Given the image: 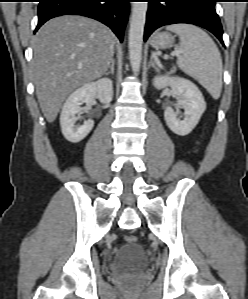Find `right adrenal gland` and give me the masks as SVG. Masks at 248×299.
Returning <instances> with one entry per match:
<instances>
[{
  "label": "right adrenal gland",
  "mask_w": 248,
  "mask_h": 299,
  "mask_svg": "<svg viewBox=\"0 0 248 299\" xmlns=\"http://www.w3.org/2000/svg\"><path fill=\"white\" fill-rule=\"evenodd\" d=\"M114 68H115V61L112 60V61H111V65H110V70L107 71V72L105 73V75L114 74Z\"/></svg>",
  "instance_id": "1"
}]
</instances>
